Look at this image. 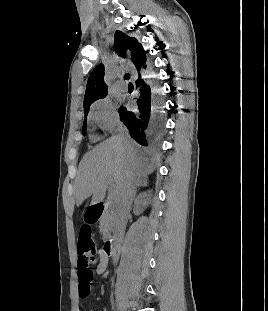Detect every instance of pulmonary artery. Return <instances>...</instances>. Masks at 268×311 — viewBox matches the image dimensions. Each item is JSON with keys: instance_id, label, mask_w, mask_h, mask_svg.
I'll use <instances>...</instances> for the list:
<instances>
[{"instance_id": "pulmonary-artery-1", "label": "pulmonary artery", "mask_w": 268, "mask_h": 311, "mask_svg": "<svg viewBox=\"0 0 268 311\" xmlns=\"http://www.w3.org/2000/svg\"><path fill=\"white\" fill-rule=\"evenodd\" d=\"M117 87L120 90H126V85L121 81L118 82Z\"/></svg>"}]
</instances>
